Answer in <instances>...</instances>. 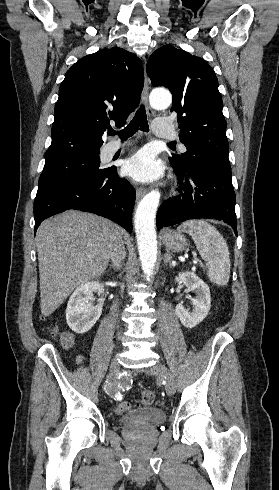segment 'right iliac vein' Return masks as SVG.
<instances>
[{"mask_svg":"<svg viewBox=\"0 0 279 490\" xmlns=\"http://www.w3.org/2000/svg\"><path fill=\"white\" fill-rule=\"evenodd\" d=\"M118 370H119L118 362L116 360H113L110 365V373L108 377L109 382L112 381L113 378L117 375Z\"/></svg>","mask_w":279,"mask_h":490,"instance_id":"right-iliac-vein-1","label":"right iliac vein"}]
</instances>
